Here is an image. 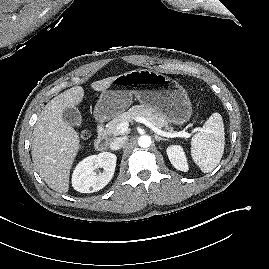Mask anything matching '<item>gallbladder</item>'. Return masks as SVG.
<instances>
[{
  "mask_svg": "<svg viewBox=\"0 0 269 269\" xmlns=\"http://www.w3.org/2000/svg\"><path fill=\"white\" fill-rule=\"evenodd\" d=\"M63 120L69 125L80 127L82 124V116L76 107L65 108L63 111Z\"/></svg>",
  "mask_w": 269,
  "mask_h": 269,
  "instance_id": "obj_1",
  "label": "gallbladder"
}]
</instances>
